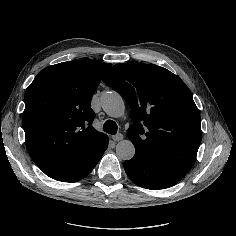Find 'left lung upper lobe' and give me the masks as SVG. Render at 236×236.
<instances>
[{"mask_svg": "<svg viewBox=\"0 0 236 236\" xmlns=\"http://www.w3.org/2000/svg\"><path fill=\"white\" fill-rule=\"evenodd\" d=\"M103 81L131 109L127 135L135 150L185 176L202 139L200 113L185 83L163 67L136 62L114 65Z\"/></svg>", "mask_w": 236, "mask_h": 236, "instance_id": "5c2ea615", "label": "left lung upper lobe"}]
</instances>
